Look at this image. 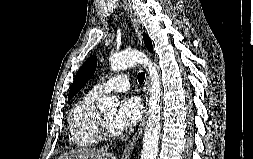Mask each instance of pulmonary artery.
I'll return each instance as SVG.
<instances>
[{
    "mask_svg": "<svg viewBox=\"0 0 253 159\" xmlns=\"http://www.w3.org/2000/svg\"><path fill=\"white\" fill-rule=\"evenodd\" d=\"M130 88L129 78L125 74L113 76L103 83L96 84L92 92L97 95H102L112 91L124 92Z\"/></svg>",
    "mask_w": 253,
    "mask_h": 159,
    "instance_id": "1",
    "label": "pulmonary artery"
}]
</instances>
